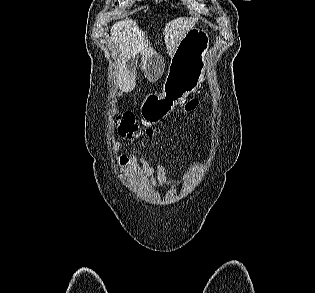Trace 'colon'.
Returning a JSON list of instances; mask_svg holds the SVG:
<instances>
[{"label":"colon","instance_id":"obj_1","mask_svg":"<svg viewBox=\"0 0 315 293\" xmlns=\"http://www.w3.org/2000/svg\"><path fill=\"white\" fill-rule=\"evenodd\" d=\"M199 105L198 99H192L184 105V112H193ZM115 124L118 127L120 135L128 138H137L140 136H153L159 132L157 128L147 127L140 128L135 121V117L131 113L117 114L114 117ZM120 162L126 163V158L121 157Z\"/></svg>","mask_w":315,"mask_h":293}]
</instances>
